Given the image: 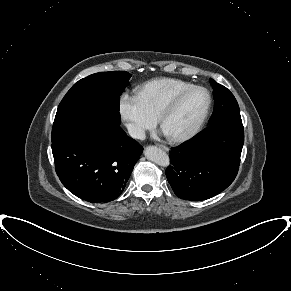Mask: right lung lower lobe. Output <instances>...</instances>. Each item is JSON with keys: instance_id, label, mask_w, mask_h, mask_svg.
I'll return each instance as SVG.
<instances>
[{"instance_id": "right-lung-lower-lobe-1", "label": "right lung lower lobe", "mask_w": 291, "mask_h": 291, "mask_svg": "<svg viewBox=\"0 0 291 291\" xmlns=\"http://www.w3.org/2000/svg\"><path fill=\"white\" fill-rule=\"evenodd\" d=\"M142 151L120 125H84L52 142L60 181L89 202L105 203L121 195Z\"/></svg>"}]
</instances>
